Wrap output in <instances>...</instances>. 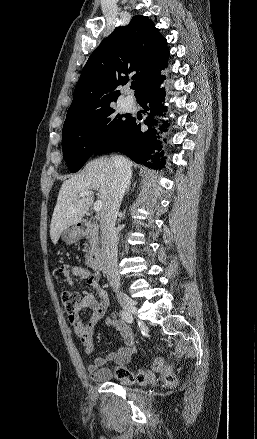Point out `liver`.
Instances as JSON below:
<instances>
[{
    "mask_svg": "<svg viewBox=\"0 0 257 439\" xmlns=\"http://www.w3.org/2000/svg\"><path fill=\"white\" fill-rule=\"evenodd\" d=\"M114 174L112 158L100 157L88 162L78 175L63 182L50 224V237L54 244L64 230L81 221L93 203V195L80 197V193L97 190L104 207Z\"/></svg>",
    "mask_w": 257,
    "mask_h": 439,
    "instance_id": "liver-1",
    "label": "liver"
}]
</instances>
